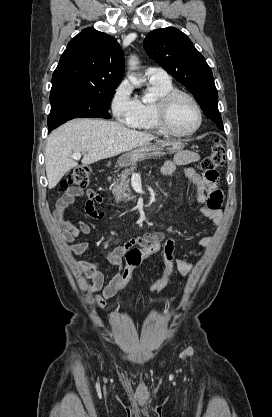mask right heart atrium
Segmentation results:
<instances>
[{"label": "right heart atrium", "instance_id": "d8ad5b80", "mask_svg": "<svg viewBox=\"0 0 272 417\" xmlns=\"http://www.w3.org/2000/svg\"><path fill=\"white\" fill-rule=\"evenodd\" d=\"M110 107L113 116L121 123L129 125L137 114L138 102L132 95V88L128 81H122L115 89Z\"/></svg>", "mask_w": 272, "mask_h": 417}]
</instances>
